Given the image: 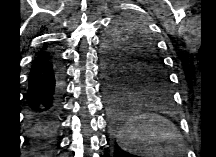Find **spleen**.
<instances>
[{
  "mask_svg": "<svg viewBox=\"0 0 216 157\" xmlns=\"http://www.w3.org/2000/svg\"><path fill=\"white\" fill-rule=\"evenodd\" d=\"M180 139L167 119L151 113L128 119L117 136L121 149L138 156L170 151Z\"/></svg>",
  "mask_w": 216,
  "mask_h": 157,
  "instance_id": "3e777b00",
  "label": "spleen"
}]
</instances>
